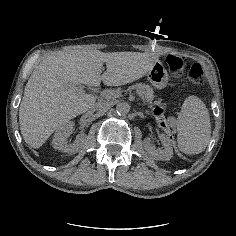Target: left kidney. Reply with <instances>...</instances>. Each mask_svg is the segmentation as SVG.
Masks as SVG:
<instances>
[{
  "label": "left kidney",
  "mask_w": 236,
  "mask_h": 236,
  "mask_svg": "<svg viewBox=\"0 0 236 236\" xmlns=\"http://www.w3.org/2000/svg\"><path fill=\"white\" fill-rule=\"evenodd\" d=\"M158 136L162 141V144L164 145L163 150L160 149L154 150L150 145L149 139L144 140L143 142L144 149L151 159L160 161H169L173 156V148L171 145V141L169 137L164 133H159Z\"/></svg>",
  "instance_id": "1"
}]
</instances>
